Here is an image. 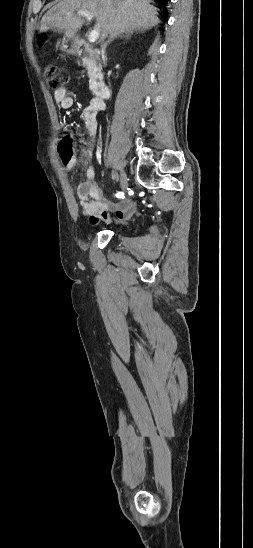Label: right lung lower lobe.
Listing matches in <instances>:
<instances>
[{
	"label": "right lung lower lobe",
	"instance_id": "98d812e1",
	"mask_svg": "<svg viewBox=\"0 0 253 548\" xmlns=\"http://www.w3.org/2000/svg\"><path fill=\"white\" fill-rule=\"evenodd\" d=\"M155 1H156L157 3H159L160 5H162L163 7H165L166 4H167V2H168L169 0H155Z\"/></svg>",
	"mask_w": 253,
	"mask_h": 548
}]
</instances>
